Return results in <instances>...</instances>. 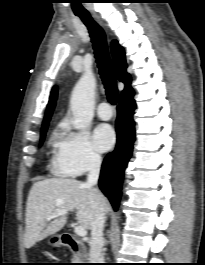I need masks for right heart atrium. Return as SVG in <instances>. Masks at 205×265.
<instances>
[{
  "instance_id": "right-heart-atrium-1",
  "label": "right heart atrium",
  "mask_w": 205,
  "mask_h": 265,
  "mask_svg": "<svg viewBox=\"0 0 205 265\" xmlns=\"http://www.w3.org/2000/svg\"><path fill=\"white\" fill-rule=\"evenodd\" d=\"M53 160L54 172L62 176H79L98 167L101 157L86 131L62 127Z\"/></svg>"
}]
</instances>
